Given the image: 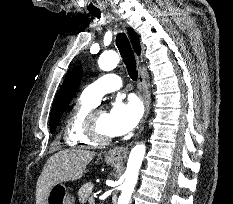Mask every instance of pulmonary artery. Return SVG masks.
I'll return each mask as SVG.
<instances>
[{
	"label": "pulmonary artery",
	"instance_id": "obj_1",
	"mask_svg": "<svg viewBox=\"0 0 233 204\" xmlns=\"http://www.w3.org/2000/svg\"><path fill=\"white\" fill-rule=\"evenodd\" d=\"M121 87L122 80L118 75L106 74L88 85L84 89L82 96L98 104L104 94L119 90Z\"/></svg>",
	"mask_w": 233,
	"mask_h": 204
}]
</instances>
